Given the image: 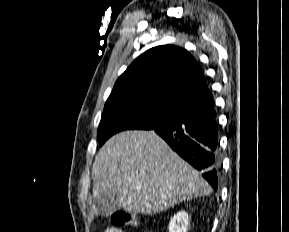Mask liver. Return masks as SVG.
Instances as JSON below:
<instances>
[{"mask_svg": "<svg viewBox=\"0 0 289 232\" xmlns=\"http://www.w3.org/2000/svg\"><path fill=\"white\" fill-rule=\"evenodd\" d=\"M92 174L93 198L118 192V203L128 213L156 214L212 191L154 131L111 137L95 156Z\"/></svg>", "mask_w": 289, "mask_h": 232, "instance_id": "obj_1", "label": "liver"}]
</instances>
